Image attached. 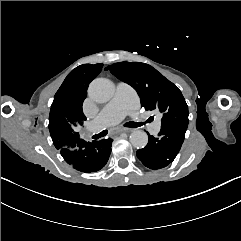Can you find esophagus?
<instances>
[{"label": "esophagus", "mask_w": 241, "mask_h": 241, "mask_svg": "<svg viewBox=\"0 0 241 241\" xmlns=\"http://www.w3.org/2000/svg\"><path fill=\"white\" fill-rule=\"evenodd\" d=\"M129 131H130V130H129L128 128H121V129L115 131V133H127V132H129Z\"/></svg>", "instance_id": "34e87169"}]
</instances>
